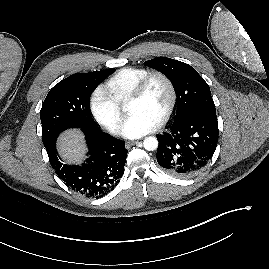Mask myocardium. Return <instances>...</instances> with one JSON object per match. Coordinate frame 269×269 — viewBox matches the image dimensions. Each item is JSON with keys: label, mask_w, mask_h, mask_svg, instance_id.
I'll list each match as a JSON object with an SVG mask.
<instances>
[{"label": "myocardium", "mask_w": 269, "mask_h": 269, "mask_svg": "<svg viewBox=\"0 0 269 269\" xmlns=\"http://www.w3.org/2000/svg\"><path fill=\"white\" fill-rule=\"evenodd\" d=\"M157 78L163 80L165 82L168 90H169L168 105H167L163 115L161 116V118L157 122V126L160 127V126L164 125L169 120V118L171 117V115L175 109L176 102H177V91H176L175 84L167 74H165L161 71H153V72H150L147 75H145L138 82L136 87L133 89L128 101L130 103L133 101L140 100L145 95L151 82Z\"/></svg>", "instance_id": "1"}]
</instances>
